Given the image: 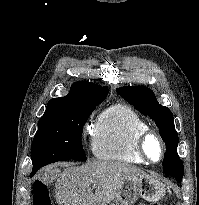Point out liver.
Listing matches in <instances>:
<instances>
[{"instance_id":"liver-1","label":"liver","mask_w":199,"mask_h":205,"mask_svg":"<svg viewBox=\"0 0 199 205\" xmlns=\"http://www.w3.org/2000/svg\"><path fill=\"white\" fill-rule=\"evenodd\" d=\"M49 171L51 179L55 180L58 205H108L115 199L125 178L145 175L135 166L107 161L89 162L82 166L67 164L63 171L53 167Z\"/></svg>"}]
</instances>
